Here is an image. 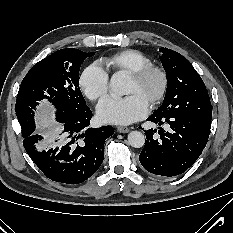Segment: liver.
Masks as SVG:
<instances>
[{
	"mask_svg": "<svg viewBox=\"0 0 233 233\" xmlns=\"http://www.w3.org/2000/svg\"><path fill=\"white\" fill-rule=\"evenodd\" d=\"M39 131L45 132L53 129L55 124L52 122V117L46 113V111L39 115Z\"/></svg>",
	"mask_w": 233,
	"mask_h": 233,
	"instance_id": "obj_1",
	"label": "liver"
}]
</instances>
